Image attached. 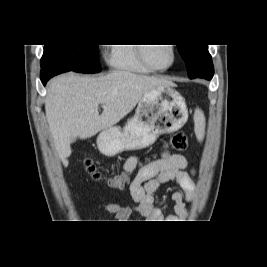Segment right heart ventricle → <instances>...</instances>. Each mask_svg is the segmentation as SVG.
<instances>
[{"label":"right heart ventricle","instance_id":"right-heart-ventricle-1","mask_svg":"<svg viewBox=\"0 0 267 267\" xmlns=\"http://www.w3.org/2000/svg\"><path fill=\"white\" fill-rule=\"evenodd\" d=\"M135 44H112L108 54V64L114 70L130 71L135 73H151L139 55V47Z\"/></svg>","mask_w":267,"mask_h":267}]
</instances>
